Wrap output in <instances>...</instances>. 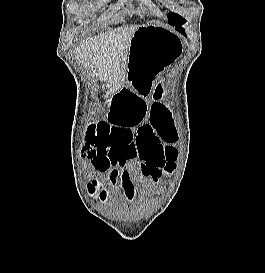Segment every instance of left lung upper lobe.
<instances>
[{
    "mask_svg": "<svg viewBox=\"0 0 265 273\" xmlns=\"http://www.w3.org/2000/svg\"><path fill=\"white\" fill-rule=\"evenodd\" d=\"M169 18L170 25L175 26V29L178 30L180 33H185L184 29L181 27V25L186 22L184 18L174 13H169Z\"/></svg>",
    "mask_w": 265,
    "mask_h": 273,
    "instance_id": "obj_1",
    "label": "left lung upper lobe"
}]
</instances>
